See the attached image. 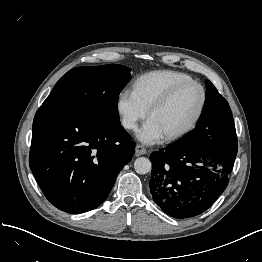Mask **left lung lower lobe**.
Returning a JSON list of instances; mask_svg holds the SVG:
<instances>
[{
  "label": "left lung lower lobe",
  "instance_id": "0a47b994",
  "mask_svg": "<svg viewBox=\"0 0 262 262\" xmlns=\"http://www.w3.org/2000/svg\"><path fill=\"white\" fill-rule=\"evenodd\" d=\"M222 151L209 152L175 143L151 154L149 188L154 202L169 216H197L225 190L237 154V138H224Z\"/></svg>",
  "mask_w": 262,
  "mask_h": 262
}]
</instances>
